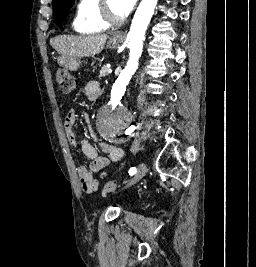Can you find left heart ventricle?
I'll list each match as a JSON object with an SVG mask.
<instances>
[{
    "instance_id": "obj_1",
    "label": "left heart ventricle",
    "mask_w": 256,
    "mask_h": 267,
    "mask_svg": "<svg viewBox=\"0 0 256 267\" xmlns=\"http://www.w3.org/2000/svg\"><path fill=\"white\" fill-rule=\"evenodd\" d=\"M109 13H110V24L115 25L119 19V15L114 1H111L110 3Z\"/></svg>"
}]
</instances>
